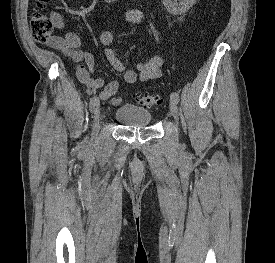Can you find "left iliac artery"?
<instances>
[{
	"label": "left iliac artery",
	"mask_w": 275,
	"mask_h": 263,
	"mask_svg": "<svg viewBox=\"0 0 275 263\" xmlns=\"http://www.w3.org/2000/svg\"><path fill=\"white\" fill-rule=\"evenodd\" d=\"M170 100L175 102L176 104H178V102L180 100L178 93H176V92L171 93Z\"/></svg>",
	"instance_id": "obj_1"
}]
</instances>
